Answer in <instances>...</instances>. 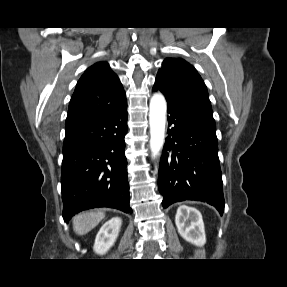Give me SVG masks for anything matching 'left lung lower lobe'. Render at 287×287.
<instances>
[{"label": "left lung lower lobe", "mask_w": 287, "mask_h": 287, "mask_svg": "<svg viewBox=\"0 0 287 287\" xmlns=\"http://www.w3.org/2000/svg\"><path fill=\"white\" fill-rule=\"evenodd\" d=\"M168 113L171 128H168L158 175L163 207L196 200L214 206L222 215L225 202L216 132L170 104Z\"/></svg>", "instance_id": "left-lung-lower-lobe-1"}]
</instances>
